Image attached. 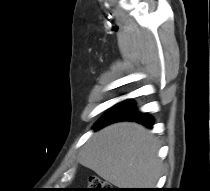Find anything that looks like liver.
<instances>
[{
  "mask_svg": "<svg viewBox=\"0 0 210 191\" xmlns=\"http://www.w3.org/2000/svg\"><path fill=\"white\" fill-rule=\"evenodd\" d=\"M158 149L145 127L119 122L94 134L79 162L119 188H152L161 172Z\"/></svg>",
  "mask_w": 210,
  "mask_h": 191,
  "instance_id": "6515ba94",
  "label": "liver"
}]
</instances>
